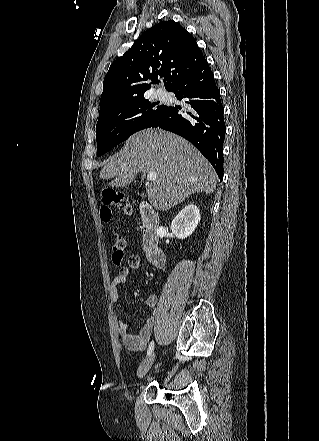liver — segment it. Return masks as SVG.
<instances>
[{
    "label": "liver",
    "instance_id": "obj_1",
    "mask_svg": "<svg viewBox=\"0 0 319 441\" xmlns=\"http://www.w3.org/2000/svg\"><path fill=\"white\" fill-rule=\"evenodd\" d=\"M157 173L146 190L158 210L169 209L197 192L212 193L218 176L209 161L187 140L161 129H146L132 135L119 153L100 171L112 186L129 185L138 172Z\"/></svg>",
    "mask_w": 319,
    "mask_h": 441
}]
</instances>
